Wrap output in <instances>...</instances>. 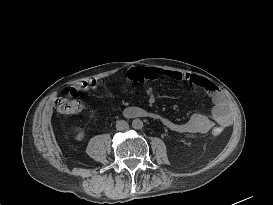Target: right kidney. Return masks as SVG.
Instances as JSON below:
<instances>
[{"instance_id": "1", "label": "right kidney", "mask_w": 273, "mask_h": 205, "mask_svg": "<svg viewBox=\"0 0 273 205\" xmlns=\"http://www.w3.org/2000/svg\"><path fill=\"white\" fill-rule=\"evenodd\" d=\"M81 136L80 137H82L84 134L82 133V134H80Z\"/></svg>"}]
</instances>
